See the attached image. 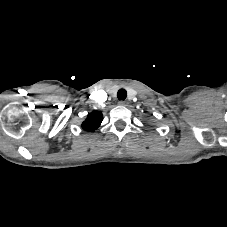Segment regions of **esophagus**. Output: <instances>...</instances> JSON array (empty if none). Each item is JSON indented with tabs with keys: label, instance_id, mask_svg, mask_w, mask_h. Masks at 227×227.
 Listing matches in <instances>:
<instances>
[{
	"label": "esophagus",
	"instance_id": "esophagus-1",
	"mask_svg": "<svg viewBox=\"0 0 227 227\" xmlns=\"http://www.w3.org/2000/svg\"><path fill=\"white\" fill-rule=\"evenodd\" d=\"M119 105L126 106V102L125 101H119Z\"/></svg>",
	"mask_w": 227,
	"mask_h": 227
}]
</instances>
